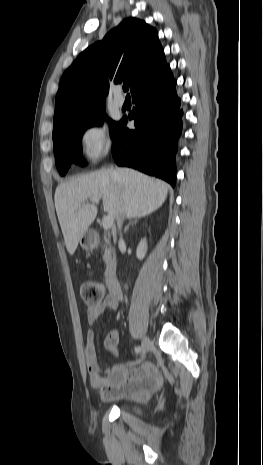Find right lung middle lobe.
<instances>
[{
	"instance_id": "right-lung-middle-lobe-1",
	"label": "right lung middle lobe",
	"mask_w": 263,
	"mask_h": 465,
	"mask_svg": "<svg viewBox=\"0 0 263 465\" xmlns=\"http://www.w3.org/2000/svg\"><path fill=\"white\" fill-rule=\"evenodd\" d=\"M105 119H107L112 133L117 122L106 118L104 104L73 111L54 123V154L60 175H64L68 171L72 162L83 164L81 157L82 136L87 128L102 125Z\"/></svg>"
}]
</instances>
